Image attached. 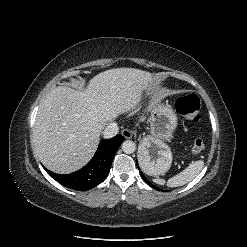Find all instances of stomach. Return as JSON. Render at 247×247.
<instances>
[{
  "instance_id": "1",
  "label": "stomach",
  "mask_w": 247,
  "mask_h": 247,
  "mask_svg": "<svg viewBox=\"0 0 247 247\" xmlns=\"http://www.w3.org/2000/svg\"><path fill=\"white\" fill-rule=\"evenodd\" d=\"M151 134L144 137L138 148V162L147 175L165 174L172 164V152L166 142L173 139L177 116L169 105L159 102L150 110Z\"/></svg>"
}]
</instances>
